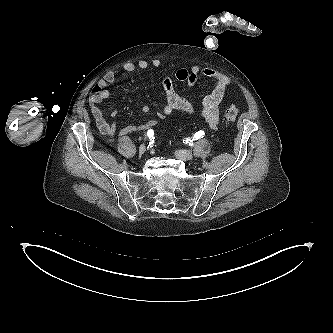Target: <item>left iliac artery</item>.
<instances>
[{"label":"left iliac artery","instance_id":"obj_1","mask_svg":"<svg viewBox=\"0 0 333 333\" xmlns=\"http://www.w3.org/2000/svg\"><path fill=\"white\" fill-rule=\"evenodd\" d=\"M204 134H205L204 131H202V130L198 131V132L193 136V140H198V139H200V138H203Z\"/></svg>","mask_w":333,"mask_h":333}]
</instances>
